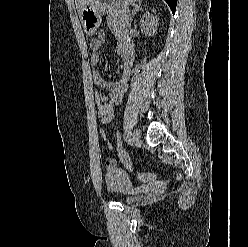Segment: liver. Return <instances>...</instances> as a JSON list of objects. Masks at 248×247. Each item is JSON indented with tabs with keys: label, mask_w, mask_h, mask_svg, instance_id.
<instances>
[{
	"label": "liver",
	"mask_w": 248,
	"mask_h": 247,
	"mask_svg": "<svg viewBox=\"0 0 248 247\" xmlns=\"http://www.w3.org/2000/svg\"><path fill=\"white\" fill-rule=\"evenodd\" d=\"M89 0H75V4H76V8L78 11V14H80V11L82 9V7L88 3Z\"/></svg>",
	"instance_id": "6515ba94"
}]
</instances>
